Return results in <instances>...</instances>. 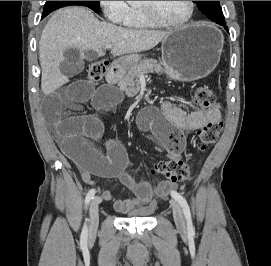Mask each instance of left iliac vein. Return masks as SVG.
I'll use <instances>...</instances> for the list:
<instances>
[{"mask_svg": "<svg viewBox=\"0 0 271 266\" xmlns=\"http://www.w3.org/2000/svg\"><path fill=\"white\" fill-rule=\"evenodd\" d=\"M170 205L172 208L173 217H174V221H175L177 229L181 232H185L186 224H185L181 206L175 200H170Z\"/></svg>", "mask_w": 271, "mask_h": 266, "instance_id": "obj_1", "label": "left iliac vein"}]
</instances>
